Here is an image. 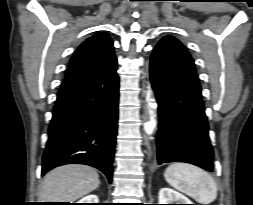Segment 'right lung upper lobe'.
<instances>
[{
	"mask_svg": "<svg viewBox=\"0 0 253 205\" xmlns=\"http://www.w3.org/2000/svg\"><path fill=\"white\" fill-rule=\"evenodd\" d=\"M115 60L112 40L107 33H98L84 41L73 54L65 80L97 72Z\"/></svg>",
	"mask_w": 253,
	"mask_h": 205,
	"instance_id": "obj_1",
	"label": "right lung upper lobe"
}]
</instances>
